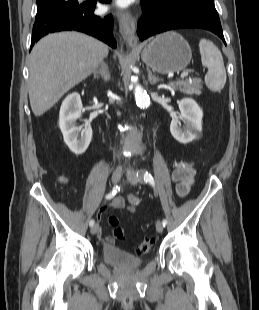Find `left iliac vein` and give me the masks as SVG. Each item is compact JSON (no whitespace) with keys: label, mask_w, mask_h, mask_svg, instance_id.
<instances>
[{"label":"left iliac vein","mask_w":259,"mask_h":310,"mask_svg":"<svg viewBox=\"0 0 259 310\" xmlns=\"http://www.w3.org/2000/svg\"><path fill=\"white\" fill-rule=\"evenodd\" d=\"M126 175H127L128 181H129L131 184H133V185L137 184L138 181H139V179H140V178L137 176L136 171H135L134 169H132V168H128V169H127ZM163 229H164V226H163V224L161 223V221H157V222H156V230H157V232H158V233H162V232H163Z\"/></svg>","instance_id":"1"}]
</instances>
